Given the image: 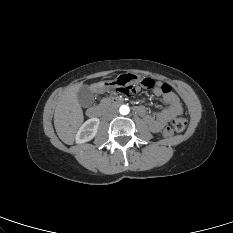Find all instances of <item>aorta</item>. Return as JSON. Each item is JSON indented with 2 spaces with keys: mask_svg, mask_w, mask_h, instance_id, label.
I'll return each instance as SVG.
<instances>
[{
  "mask_svg": "<svg viewBox=\"0 0 233 233\" xmlns=\"http://www.w3.org/2000/svg\"><path fill=\"white\" fill-rule=\"evenodd\" d=\"M119 112L121 115H127L129 112H130V109L127 105H122L120 108H119Z\"/></svg>",
  "mask_w": 233,
  "mask_h": 233,
  "instance_id": "762f6f07",
  "label": "aorta"
}]
</instances>
